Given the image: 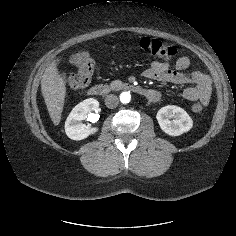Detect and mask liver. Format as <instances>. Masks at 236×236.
<instances>
[{
	"label": "liver",
	"mask_w": 236,
	"mask_h": 236,
	"mask_svg": "<svg viewBox=\"0 0 236 236\" xmlns=\"http://www.w3.org/2000/svg\"><path fill=\"white\" fill-rule=\"evenodd\" d=\"M60 59L54 60L45 69L41 78V91L51 120L55 126L59 125L66 96V85L60 76L57 64Z\"/></svg>",
	"instance_id": "liver-1"
}]
</instances>
